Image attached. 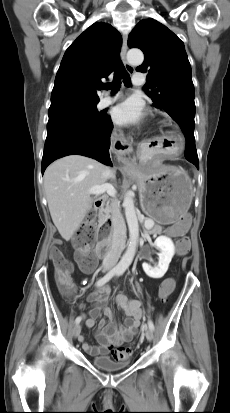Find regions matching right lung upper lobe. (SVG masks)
Instances as JSON below:
<instances>
[{
    "instance_id": "1",
    "label": "right lung upper lobe",
    "mask_w": 230,
    "mask_h": 413,
    "mask_svg": "<svg viewBox=\"0 0 230 413\" xmlns=\"http://www.w3.org/2000/svg\"><path fill=\"white\" fill-rule=\"evenodd\" d=\"M122 37L110 24L96 22L66 50L56 74L50 108L65 104H97L101 78L115 68Z\"/></svg>"
}]
</instances>
